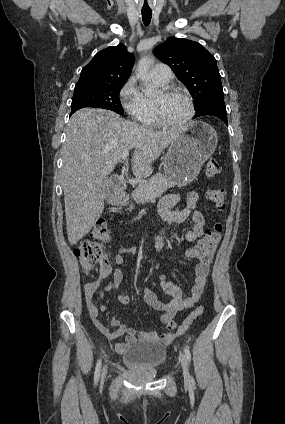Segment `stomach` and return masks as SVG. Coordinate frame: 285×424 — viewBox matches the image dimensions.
<instances>
[{"mask_svg":"<svg viewBox=\"0 0 285 424\" xmlns=\"http://www.w3.org/2000/svg\"><path fill=\"white\" fill-rule=\"evenodd\" d=\"M217 142L213 127L202 121L190 123L168 147L164 158L166 178L177 186L190 183L214 153Z\"/></svg>","mask_w":285,"mask_h":424,"instance_id":"stomach-1","label":"stomach"}]
</instances>
